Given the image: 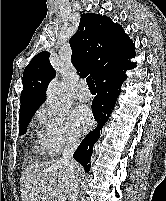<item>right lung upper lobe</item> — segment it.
Here are the masks:
<instances>
[{
  "instance_id": "obj_1",
  "label": "right lung upper lobe",
  "mask_w": 166,
  "mask_h": 201,
  "mask_svg": "<svg viewBox=\"0 0 166 201\" xmlns=\"http://www.w3.org/2000/svg\"><path fill=\"white\" fill-rule=\"evenodd\" d=\"M72 63L81 76L90 74L95 80L109 69L125 66L135 57V45L109 17L84 13L78 31L70 39ZM56 72L43 51L32 58L23 73L19 118L35 113L46 98V89Z\"/></svg>"
}]
</instances>
